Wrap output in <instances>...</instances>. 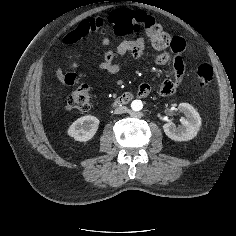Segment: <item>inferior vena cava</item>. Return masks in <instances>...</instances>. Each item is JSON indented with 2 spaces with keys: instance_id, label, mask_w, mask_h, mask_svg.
<instances>
[{
  "instance_id": "obj_1",
  "label": "inferior vena cava",
  "mask_w": 236,
  "mask_h": 236,
  "mask_svg": "<svg viewBox=\"0 0 236 236\" xmlns=\"http://www.w3.org/2000/svg\"><path fill=\"white\" fill-rule=\"evenodd\" d=\"M128 111V108L126 106H119L115 109L114 113L115 114H123Z\"/></svg>"
}]
</instances>
